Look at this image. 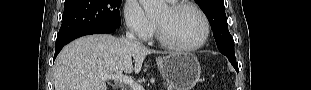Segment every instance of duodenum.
<instances>
[{
    "label": "duodenum",
    "mask_w": 311,
    "mask_h": 90,
    "mask_svg": "<svg viewBox=\"0 0 311 90\" xmlns=\"http://www.w3.org/2000/svg\"><path fill=\"white\" fill-rule=\"evenodd\" d=\"M117 89H119V90H125V88H123V87H117Z\"/></svg>",
    "instance_id": "410a0bca"
}]
</instances>
